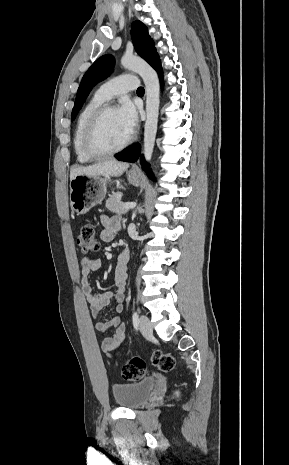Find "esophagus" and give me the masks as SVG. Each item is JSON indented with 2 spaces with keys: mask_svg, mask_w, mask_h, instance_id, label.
Returning <instances> with one entry per match:
<instances>
[{
  "mask_svg": "<svg viewBox=\"0 0 289 465\" xmlns=\"http://www.w3.org/2000/svg\"><path fill=\"white\" fill-rule=\"evenodd\" d=\"M132 170H133V171L138 170V166H137L136 164H134V165L132 166Z\"/></svg>",
  "mask_w": 289,
  "mask_h": 465,
  "instance_id": "obj_1",
  "label": "esophagus"
}]
</instances>
